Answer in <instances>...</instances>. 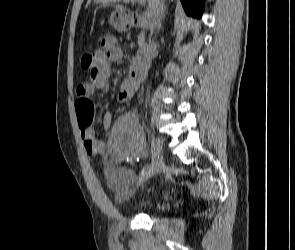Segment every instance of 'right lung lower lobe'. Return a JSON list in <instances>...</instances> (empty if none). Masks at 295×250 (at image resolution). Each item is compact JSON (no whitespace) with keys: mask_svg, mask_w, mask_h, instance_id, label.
I'll return each instance as SVG.
<instances>
[{"mask_svg":"<svg viewBox=\"0 0 295 250\" xmlns=\"http://www.w3.org/2000/svg\"><path fill=\"white\" fill-rule=\"evenodd\" d=\"M181 3L188 15L201 17L204 0H181Z\"/></svg>","mask_w":295,"mask_h":250,"instance_id":"98d812e1","label":"right lung lower lobe"}]
</instances>
